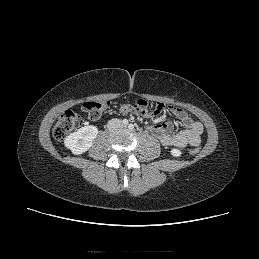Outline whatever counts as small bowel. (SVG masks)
I'll list each match as a JSON object with an SVG mask.
<instances>
[{"mask_svg": "<svg viewBox=\"0 0 259 259\" xmlns=\"http://www.w3.org/2000/svg\"><path fill=\"white\" fill-rule=\"evenodd\" d=\"M169 111L181 121L184 129L172 132V123L155 122L148 127L149 131L152 132L164 146L184 148L190 145L198 147L201 143L203 125L192 119L189 114L180 107L169 106Z\"/></svg>", "mask_w": 259, "mask_h": 259, "instance_id": "obj_1", "label": "small bowel"}]
</instances>
